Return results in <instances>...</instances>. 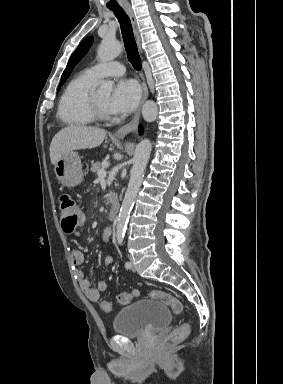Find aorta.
Wrapping results in <instances>:
<instances>
[{
    "label": "aorta",
    "mask_w": 283,
    "mask_h": 384,
    "mask_svg": "<svg viewBox=\"0 0 283 384\" xmlns=\"http://www.w3.org/2000/svg\"><path fill=\"white\" fill-rule=\"evenodd\" d=\"M122 50V45L115 39L105 38L98 47V57L100 61L107 62L116 58ZM113 89L111 81H104L99 87V93L110 94ZM158 114V108L154 101L148 100L142 107V116L145 121H155ZM152 143L148 139H143L136 147L133 158V166L130 171V179L126 190L120 212L117 218V236L122 237L125 234L129 215L134 205L136 196L143 181L144 171L148 163Z\"/></svg>",
    "instance_id": "762f6f07"
}]
</instances>
